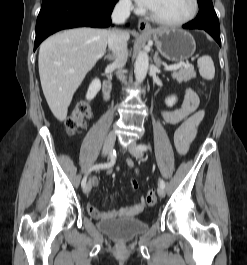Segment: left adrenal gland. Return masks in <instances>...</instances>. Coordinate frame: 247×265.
<instances>
[{"label": "left adrenal gland", "instance_id": "a2214340", "mask_svg": "<svg viewBox=\"0 0 247 265\" xmlns=\"http://www.w3.org/2000/svg\"><path fill=\"white\" fill-rule=\"evenodd\" d=\"M154 63L157 67H161V60L160 58L158 57V52H155V55H154Z\"/></svg>", "mask_w": 247, "mask_h": 265}]
</instances>
